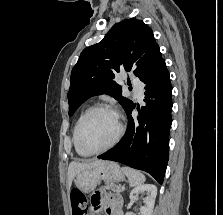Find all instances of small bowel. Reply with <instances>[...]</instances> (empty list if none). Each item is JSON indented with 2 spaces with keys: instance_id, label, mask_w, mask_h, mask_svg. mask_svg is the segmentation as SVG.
Masks as SVG:
<instances>
[{
  "instance_id": "c3829d8e",
  "label": "small bowel",
  "mask_w": 223,
  "mask_h": 215,
  "mask_svg": "<svg viewBox=\"0 0 223 215\" xmlns=\"http://www.w3.org/2000/svg\"><path fill=\"white\" fill-rule=\"evenodd\" d=\"M91 210L94 215L102 212L104 215H122L121 199L103 190H96L91 196Z\"/></svg>"
}]
</instances>
